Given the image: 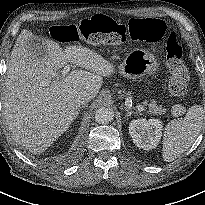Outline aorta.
<instances>
[{
    "label": "aorta",
    "instance_id": "762f6f07",
    "mask_svg": "<svg viewBox=\"0 0 205 205\" xmlns=\"http://www.w3.org/2000/svg\"><path fill=\"white\" fill-rule=\"evenodd\" d=\"M114 118V112L109 107H101L96 111L95 120L99 124H107Z\"/></svg>",
    "mask_w": 205,
    "mask_h": 205
}]
</instances>
